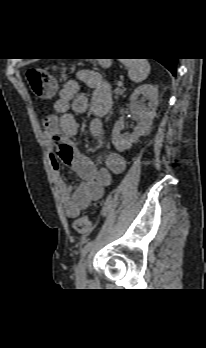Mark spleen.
I'll list each match as a JSON object with an SVG mask.
<instances>
[{"instance_id": "obj_1", "label": "spleen", "mask_w": 206, "mask_h": 348, "mask_svg": "<svg viewBox=\"0 0 206 348\" xmlns=\"http://www.w3.org/2000/svg\"><path fill=\"white\" fill-rule=\"evenodd\" d=\"M121 62L128 68V76L135 83L144 81L150 73L147 59H122Z\"/></svg>"}]
</instances>
